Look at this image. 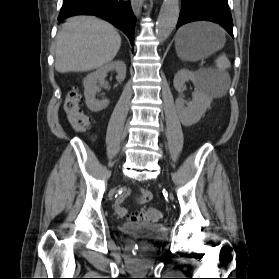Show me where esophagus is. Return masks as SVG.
<instances>
[{
  "label": "esophagus",
  "instance_id": "obj_1",
  "mask_svg": "<svg viewBox=\"0 0 279 279\" xmlns=\"http://www.w3.org/2000/svg\"><path fill=\"white\" fill-rule=\"evenodd\" d=\"M143 0H131L132 10L136 16L140 14Z\"/></svg>",
  "mask_w": 279,
  "mask_h": 279
}]
</instances>
